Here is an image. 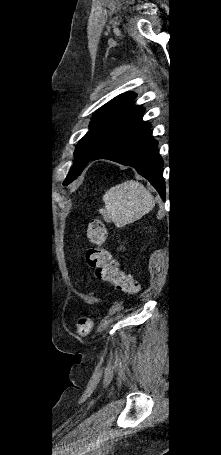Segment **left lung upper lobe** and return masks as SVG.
Instances as JSON below:
<instances>
[{
    "label": "left lung upper lobe",
    "mask_w": 221,
    "mask_h": 455,
    "mask_svg": "<svg viewBox=\"0 0 221 455\" xmlns=\"http://www.w3.org/2000/svg\"><path fill=\"white\" fill-rule=\"evenodd\" d=\"M135 97L133 92L123 93L94 113L89 131L76 146L75 162L64 185L72 182L107 143L142 119L144 109L132 104Z\"/></svg>",
    "instance_id": "obj_1"
}]
</instances>
